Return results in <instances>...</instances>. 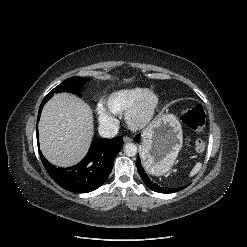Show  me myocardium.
Wrapping results in <instances>:
<instances>
[{
    "label": "myocardium",
    "instance_id": "obj_1",
    "mask_svg": "<svg viewBox=\"0 0 247 247\" xmlns=\"http://www.w3.org/2000/svg\"><path fill=\"white\" fill-rule=\"evenodd\" d=\"M150 100L149 110L140 115L141 108L146 101ZM160 107V97L153 91H148L137 99L125 112V122L132 130H141L147 127L155 118Z\"/></svg>",
    "mask_w": 247,
    "mask_h": 247
}]
</instances>
